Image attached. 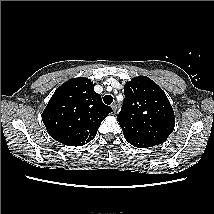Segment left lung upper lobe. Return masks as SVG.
I'll list each match as a JSON object with an SVG mask.
<instances>
[{
  "label": "left lung upper lobe",
  "instance_id": "obj_1",
  "mask_svg": "<svg viewBox=\"0 0 214 214\" xmlns=\"http://www.w3.org/2000/svg\"><path fill=\"white\" fill-rule=\"evenodd\" d=\"M125 99L117 120L124 137L158 145L174 129L173 108L164 91L150 78L138 76L124 87Z\"/></svg>",
  "mask_w": 214,
  "mask_h": 214
}]
</instances>
